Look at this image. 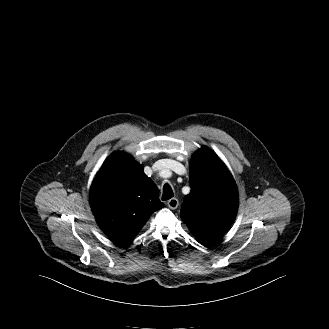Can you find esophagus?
Here are the masks:
<instances>
[{"label":"esophagus","instance_id":"1","mask_svg":"<svg viewBox=\"0 0 329 329\" xmlns=\"http://www.w3.org/2000/svg\"><path fill=\"white\" fill-rule=\"evenodd\" d=\"M170 209H176L179 206V201L176 198H172L167 202Z\"/></svg>","mask_w":329,"mask_h":329}]
</instances>
